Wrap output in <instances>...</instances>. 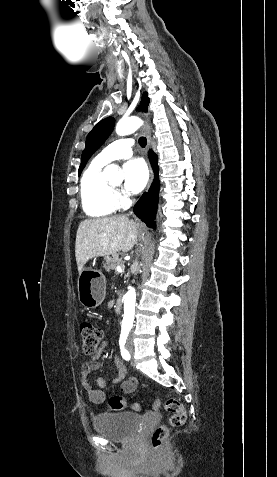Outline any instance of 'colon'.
<instances>
[{
	"label": "colon",
	"instance_id": "1",
	"mask_svg": "<svg viewBox=\"0 0 277 477\" xmlns=\"http://www.w3.org/2000/svg\"><path fill=\"white\" fill-rule=\"evenodd\" d=\"M80 337L83 351L86 354H92L96 351L102 339L101 330L90 320H84L80 324ZM127 406V401L119 396H115L109 400L108 408L111 411H119ZM161 406L170 413L169 424L173 427H180L185 423L186 413L182 403L175 398H168L164 401L155 400L152 404L154 410ZM133 409H139L138 404H132ZM168 434L166 425L157 426L151 433L150 443L154 449H159L165 441Z\"/></svg>",
	"mask_w": 277,
	"mask_h": 477
}]
</instances>
